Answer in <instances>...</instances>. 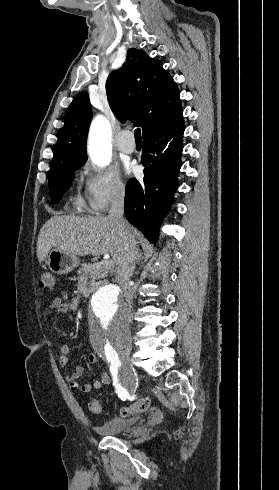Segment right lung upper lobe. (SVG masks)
Listing matches in <instances>:
<instances>
[{
  "label": "right lung upper lobe",
  "instance_id": "obj_1",
  "mask_svg": "<svg viewBox=\"0 0 279 490\" xmlns=\"http://www.w3.org/2000/svg\"><path fill=\"white\" fill-rule=\"evenodd\" d=\"M123 66L113 71L106 93L114 115L141 126L143 137L162 132L182 120L179 90L162 63L138 49H129ZM92 118L87 92L79 93L70 104L61 129L50 174L86 162V138Z\"/></svg>",
  "mask_w": 279,
  "mask_h": 490
}]
</instances>
